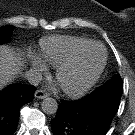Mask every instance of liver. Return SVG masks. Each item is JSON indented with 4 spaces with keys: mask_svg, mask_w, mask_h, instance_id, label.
Instances as JSON below:
<instances>
[{
    "mask_svg": "<svg viewBox=\"0 0 135 135\" xmlns=\"http://www.w3.org/2000/svg\"><path fill=\"white\" fill-rule=\"evenodd\" d=\"M21 65L20 57L13 49L6 45L0 46V90L13 81Z\"/></svg>",
    "mask_w": 135,
    "mask_h": 135,
    "instance_id": "1",
    "label": "liver"
}]
</instances>
